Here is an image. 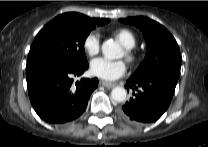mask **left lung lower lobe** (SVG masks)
Masks as SVG:
<instances>
[{
  "label": "left lung lower lobe",
  "instance_id": "obj_1",
  "mask_svg": "<svg viewBox=\"0 0 208 147\" xmlns=\"http://www.w3.org/2000/svg\"><path fill=\"white\" fill-rule=\"evenodd\" d=\"M177 81L168 72L131 77L125 87L133 90V97L119 109L120 117L134 125L157 121L170 105Z\"/></svg>",
  "mask_w": 208,
  "mask_h": 147
}]
</instances>
